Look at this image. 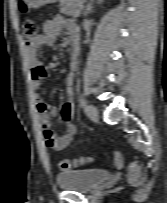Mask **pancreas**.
Here are the masks:
<instances>
[{
    "label": "pancreas",
    "mask_w": 167,
    "mask_h": 203,
    "mask_svg": "<svg viewBox=\"0 0 167 203\" xmlns=\"http://www.w3.org/2000/svg\"><path fill=\"white\" fill-rule=\"evenodd\" d=\"M84 0H60V13L74 16L82 8Z\"/></svg>",
    "instance_id": "obj_1"
}]
</instances>
